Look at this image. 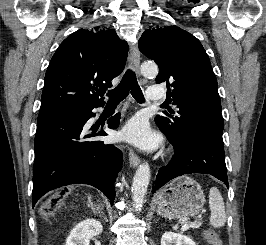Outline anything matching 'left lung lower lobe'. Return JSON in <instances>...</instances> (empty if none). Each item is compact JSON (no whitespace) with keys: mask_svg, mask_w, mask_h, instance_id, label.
I'll return each instance as SVG.
<instances>
[{"mask_svg":"<svg viewBox=\"0 0 266 245\" xmlns=\"http://www.w3.org/2000/svg\"><path fill=\"white\" fill-rule=\"evenodd\" d=\"M165 136L172 143L175 154L167 166L158 170L154 191L173 178L191 173L213 175L228 187L222 133L192 128L185 132L179 142Z\"/></svg>","mask_w":266,"mask_h":245,"instance_id":"obj_1","label":"left lung lower lobe"}]
</instances>
